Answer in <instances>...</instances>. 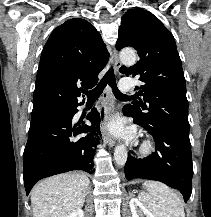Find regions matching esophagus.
Masks as SVG:
<instances>
[{"label":"esophagus","instance_id":"obj_1","mask_svg":"<svg viewBox=\"0 0 211 217\" xmlns=\"http://www.w3.org/2000/svg\"><path fill=\"white\" fill-rule=\"evenodd\" d=\"M111 60L114 63L115 70L117 71L121 67V62L118 56L117 50L114 48L111 53ZM110 95V89L107 87L102 96V105L100 108V119H101V127L103 132V138L109 147H113L115 145V140L111 134L107 131V123L110 118V108L108 105V99Z\"/></svg>","mask_w":211,"mask_h":217}]
</instances>
